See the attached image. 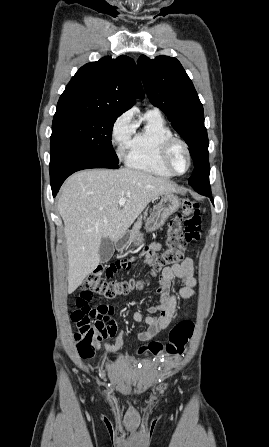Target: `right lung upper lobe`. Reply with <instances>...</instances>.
Here are the masks:
<instances>
[{
	"instance_id": "right-lung-upper-lobe-1",
	"label": "right lung upper lobe",
	"mask_w": 269,
	"mask_h": 447,
	"mask_svg": "<svg viewBox=\"0 0 269 447\" xmlns=\"http://www.w3.org/2000/svg\"><path fill=\"white\" fill-rule=\"evenodd\" d=\"M140 77L133 59L121 55L87 63L72 77L60 96L56 114H111L120 116L142 98Z\"/></svg>"
}]
</instances>
